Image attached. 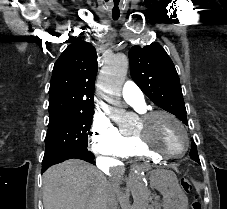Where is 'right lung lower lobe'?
Listing matches in <instances>:
<instances>
[{
	"label": "right lung lower lobe",
	"mask_w": 227,
	"mask_h": 209,
	"mask_svg": "<svg viewBox=\"0 0 227 209\" xmlns=\"http://www.w3.org/2000/svg\"><path fill=\"white\" fill-rule=\"evenodd\" d=\"M81 159L87 162L92 161L95 157L90 151H84V152H65L61 154H57L55 156H52L48 159V165L46 169H48L51 165L63 162L67 159ZM46 169H42V172H44Z\"/></svg>",
	"instance_id": "98d812e1"
}]
</instances>
